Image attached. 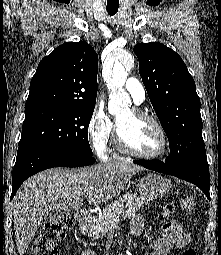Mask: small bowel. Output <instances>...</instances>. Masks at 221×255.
I'll return each mask as SVG.
<instances>
[{
	"instance_id": "c3829d8e",
	"label": "small bowel",
	"mask_w": 221,
	"mask_h": 255,
	"mask_svg": "<svg viewBox=\"0 0 221 255\" xmlns=\"http://www.w3.org/2000/svg\"><path fill=\"white\" fill-rule=\"evenodd\" d=\"M144 226V219L137 215L131 222L130 231L133 236H139ZM190 238L184 232L178 221L166 223L157 236L146 235L147 244L154 250L153 255H171L173 251L184 249L189 244ZM81 255H98L93 250H85Z\"/></svg>"
}]
</instances>
